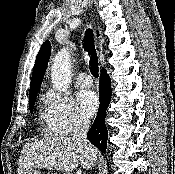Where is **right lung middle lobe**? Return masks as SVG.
I'll list each match as a JSON object with an SVG mask.
<instances>
[{"label": "right lung middle lobe", "instance_id": "dd1d6c3e", "mask_svg": "<svg viewBox=\"0 0 175 174\" xmlns=\"http://www.w3.org/2000/svg\"><path fill=\"white\" fill-rule=\"evenodd\" d=\"M34 101H35V98L29 100V107H30L31 113H32V111H33V104H34Z\"/></svg>", "mask_w": 175, "mask_h": 174}]
</instances>
